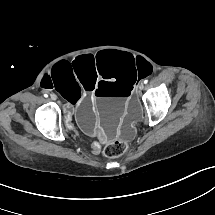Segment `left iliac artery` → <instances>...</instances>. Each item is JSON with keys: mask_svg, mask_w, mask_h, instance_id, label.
<instances>
[{"mask_svg": "<svg viewBox=\"0 0 215 215\" xmlns=\"http://www.w3.org/2000/svg\"><path fill=\"white\" fill-rule=\"evenodd\" d=\"M143 82H144V84H146L148 82V80L145 79Z\"/></svg>", "mask_w": 215, "mask_h": 215, "instance_id": "1", "label": "left iliac artery"}]
</instances>
